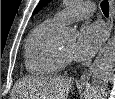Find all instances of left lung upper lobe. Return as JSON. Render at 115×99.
<instances>
[{"label":"left lung upper lobe","instance_id":"5c2ea615","mask_svg":"<svg viewBox=\"0 0 115 99\" xmlns=\"http://www.w3.org/2000/svg\"><path fill=\"white\" fill-rule=\"evenodd\" d=\"M50 0H40L39 4L37 5L34 13L40 10L44 5H46Z\"/></svg>","mask_w":115,"mask_h":99}]
</instances>
